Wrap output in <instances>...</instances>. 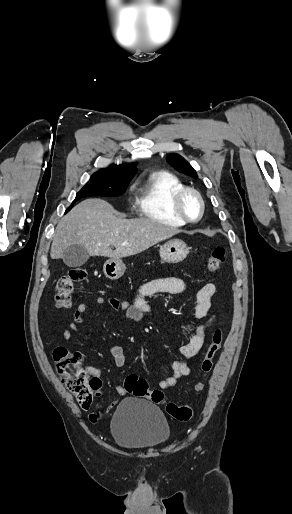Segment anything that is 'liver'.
I'll return each instance as SVG.
<instances>
[{
  "instance_id": "6515ba94",
  "label": "liver",
  "mask_w": 292,
  "mask_h": 514,
  "mask_svg": "<svg viewBox=\"0 0 292 514\" xmlns=\"http://www.w3.org/2000/svg\"><path fill=\"white\" fill-rule=\"evenodd\" d=\"M181 230L164 226L149 218H117V212L105 200H83L60 220L50 256L62 258L65 248L83 244L89 256L126 258L168 240ZM114 246L115 250H111Z\"/></svg>"
}]
</instances>
